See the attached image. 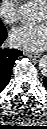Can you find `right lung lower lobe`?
I'll return each instance as SVG.
<instances>
[{
	"label": "right lung lower lobe",
	"mask_w": 47,
	"mask_h": 129,
	"mask_svg": "<svg viewBox=\"0 0 47 129\" xmlns=\"http://www.w3.org/2000/svg\"><path fill=\"white\" fill-rule=\"evenodd\" d=\"M7 38L6 29L0 32V46ZM22 55V52L17 49H0V91L8 84L12 67L16 59Z\"/></svg>",
	"instance_id": "right-lung-lower-lobe-1"
}]
</instances>
